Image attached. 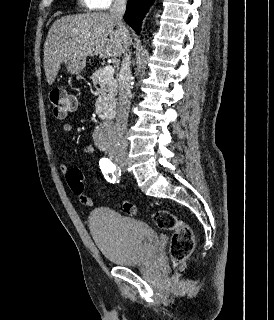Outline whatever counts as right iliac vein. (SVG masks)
<instances>
[{
	"instance_id": "right-iliac-vein-1",
	"label": "right iliac vein",
	"mask_w": 274,
	"mask_h": 320,
	"mask_svg": "<svg viewBox=\"0 0 274 320\" xmlns=\"http://www.w3.org/2000/svg\"><path fill=\"white\" fill-rule=\"evenodd\" d=\"M116 163L119 167L126 168L128 162L124 158H119V159H116Z\"/></svg>"
}]
</instances>
